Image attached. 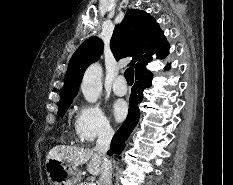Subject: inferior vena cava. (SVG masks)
<instances>
[{
  "instance_id": "inferior-vena-cava-1",
  "label": "inferior vena cava",
  "mask_w": 233,
  "mask_h": 185,
  "mask_svg": "<svg viewBox=\"0 0 233 185\" xmlns=\"http://www.w3.org/2000/svg\"><path fill=\"white\" fill-rule=\"evenodd\" d=\"M114 131L109 124L104 125L98 135L96 141V146L94 150L104 157V166L100 173L99 184L98 185H111L112 179V165L111 162L106 158V153L110 148V143Z\"/></svg>"
}]
</instances>
